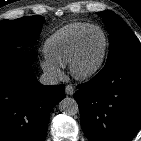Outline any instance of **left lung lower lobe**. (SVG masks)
Wrapping results in <instances>:
<instances>
[{
    "instance_id": "1",
    "label": "left lung lower lobe",
    "mask_w": 141,
    "mask_h": 141,
    "mask_svg": "<svg viewBox=\"0 0 141 141\" xmlns=\"http://www.w3.org/2000/svg\"><path fill=\"white\" fill-rule=\"evenodd\" d=\"M74 98L89 141H131L141 128V57L106 64Z\"/></svg>"
}]
</instances>
